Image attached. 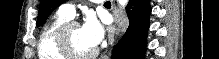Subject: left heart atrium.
Here are the masks:
<instances>
[{
    "label": "left heart atrium",
    "instance_id": "39dd6f15",
    "mask_svg": "<svg viewBox=\"0 0 219 59\" xmlns=\"http://www.w3.org/2000/svg\"><path fill=\"white\" fill-rule=\"evenodd\" d=\"M81 33L89 45L95 48L103 38V27L96 18L90 16L81 26Z\"/></svg>",
    "mask_w": 219,
    "mask_h": 59
}]
</instances>
